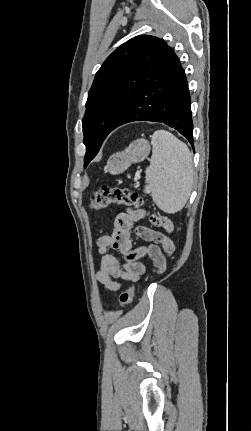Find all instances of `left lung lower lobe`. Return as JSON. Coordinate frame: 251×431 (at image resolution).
Here are the masks:
<instances>
[{"label":"left lung lower lobe","mask_w":251,"mask_h":431,"mask_svg":"<svg viewBox=\"0 0 251 431\" xmlns=\"http://www.w3.org/2000/svg\"><path fill=\"white\" fill-rule=\"evenodd\" d=\"M190 104L184 69L174 51L165 44L117 127L133 121L161 122L179 131L193 146Z\"/></svg>","instance_id":"1"}]
</instances>
